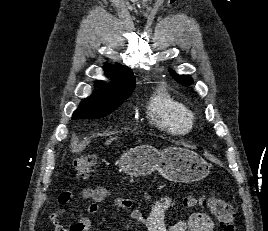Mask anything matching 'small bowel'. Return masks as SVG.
I'll return each instance as SVG.
<instances>
[{"label":"small bowel","instance_id":"obj_1","mask_svg":"<svg viewBox=\"0 0 268 231\" xmlns=\"http://www.w3.org/2000/svg\"><path fill=\"white\" fill-rule=\"evenodd\" d=\"M83 197L91 201L89 213L95 214L101 208V203L107 199H113L117 205L124 210L131 212V218L139 222L145 231H212L213 223L210 217L204 213H194L187 220L175 222L167 228L165 223L166 212L175 205V199L172 197H162L156 200L150 209L148 217H144L142 212L133 208V202L130 198L120 195L115 189L99 186L86 188L83 191ZM64 211L60 210L49 216V221L54 226V231H89L91 220L87 216L81 217L77 222L64 225L61 217Z\"/></svg>","mask_w":268,"mask_h":231}]
</instances>
